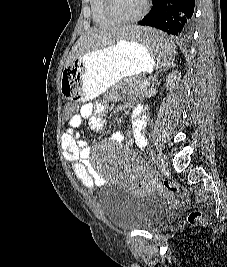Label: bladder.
Segmentation results:
<instances>
[{"instance_id":"1","label":"bladder","mask_w":227,"mask_h":267,"mask_svg":"<svg viewBox=\"0 0 227 267\" xmlns=\"http://www.w3.org/2000/svg\"><path fill=\"white\" fill-rule=\"evenodd\" d=\"M100 204L108 221L122 229L157 231L170 217L169 207L154 195H137L114 184L101 194Z\"/></svg>"}]
</instances>
